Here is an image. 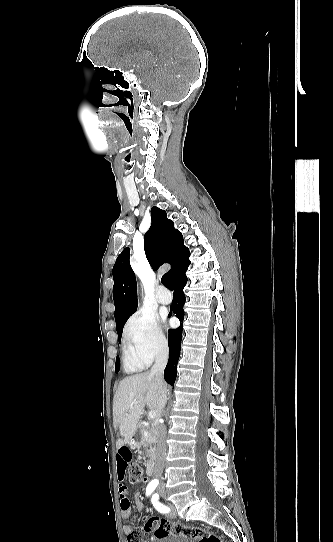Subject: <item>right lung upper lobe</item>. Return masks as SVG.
<instances>
[{"instance_id": "right-lung-upper-lobe-1", "label": "right lung upper lobe", "mask_w": 333, "mask_h": 542, "mask_svg": "<svg viewBox=\"0 0 333 542\" xmlns=\"http://www.w3.org/2000/svg\"><path fill=\"white\" fill-rule=\"evenodd\" d=\"M152 224L144 235V250L151 267L157 270L163 263L173 265L178 253L185 248L182 234L175 230L174 223L166 212L152 208ZM130 249H124L113 267V299L116 327L138 306L136 278L129 262ZM171 269L169 270V274Z\"/></svg>"}]
</instances>
